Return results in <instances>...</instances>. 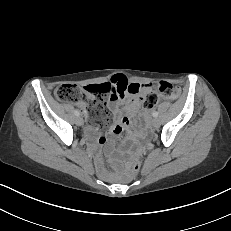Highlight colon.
Listing matches in <instances>:
<instances>
[{"label":"colon","instance_id":"obj_1","mask_svg":"<svg viewBox=\"0 0 231 231\" xmlns=\"http://www.w3.org/2000/svg\"><path fill=\"white\" fill-rule=\"evenodd\" d=\"M112 88L107 84H93L81 89L75 84H62L54 90V97L59 101L80 103L83 95H86L85 112L90 116V121L96 126L107 125L111 118V112L106 106L105 99L109 97ZM159 95L167 98H173L177 95V89L167 81L156 82L151 85V91L148 92L143 100V105L147 108L154 107ZM141 168V158L135 156L130 165V171L136 175Z\"/></svg>","mask_w":231,"mask_h":231}]
</instances>
